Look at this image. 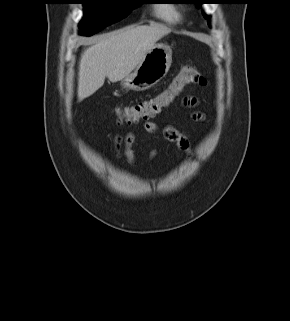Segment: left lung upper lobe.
I'll use <instances>...</instances> for the list:
<instances>
[{"mask_svg":"<svg viewBox=\"0 0 290 321\" xmlns=\"http://www.w3.org/2000/svg\"><path fill=\"white\" fill-rule=\"evenodd\" d=\"M204 1L203 0H196L194 1V4L199 8L200 5L203 3ZM205 18H208V16L204 15Z\"/></svg>","mask_w":290,"mask_h":321,"instance_id":"5c2ea615","label":"left lung upper lobe"}]
</instances>
